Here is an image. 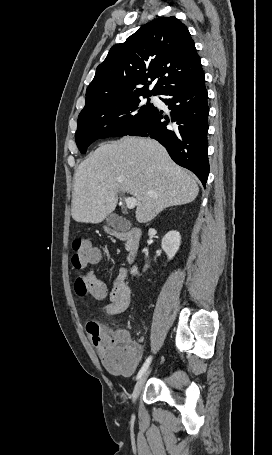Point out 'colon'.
Here are the masks:
<instances>
[{
    "label": "colon",
    "instance_id": "5ec220e1",
    "mask_svg": "<svg viewBox=\"0 0 272 455\" xmlns=\"http://www.w3.org/2000/svg\"><path fill=\"white\" fill-rule=\"evenodd\" d=\"M72 251V264L79 270L97 264L101 259L100 250L93 247L86 238L74 239ZM74 287L80 297L91 296L98 300L106 297L105 284L91 272L79 274ZM86 329L103 365L108 370L125 371L132 365L136 355L134 345L102 329L98 323L90 322Z\"/></svg>",
    "mask_w": 272,
    "mask_h": 455
}]
</instances>
